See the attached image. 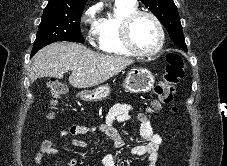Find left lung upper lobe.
<instances>
[{"instance_id":"1","label":"left lung upper lobe","mask_w":227,"mask_h":166,"mask_svg":"<svg viewBox=\"0 0 227 166\" xmlns=\"http://www.w3.org/2000/svg\"><path fill=\"white\" fill-rule=\"evenodd\" d=\"M168 30L171 40L187 50L180 17L173 0H141Z\"/></svg>"}]
</instances>
